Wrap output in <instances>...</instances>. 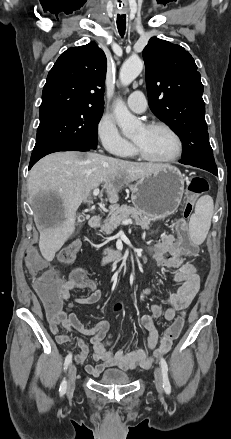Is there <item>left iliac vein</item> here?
<instances>
[{"mask_svg":"<svg viewBox=\"0 0 231 439\" xmlns=\"http://www.w3.org/2000/svg\"><path fill=\"white\" fill-rule=\"evenodd\" d=\"M154 383L156 386L157 392L162 395L163 393V378L159 367L155 368L154 371Z\"/></svg>","mask_w":231,"mask_h":439,"instance_id":"left-iliac-vein-1","label":"left iliac vein"}]
</instances>
